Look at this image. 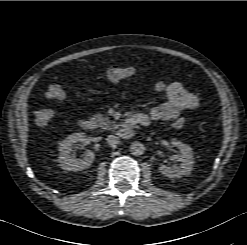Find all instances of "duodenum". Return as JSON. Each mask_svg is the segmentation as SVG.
<instances>
[{
  "instance_id": "410a0bca",
  "label": "duodenum",
  "mask_w": 247,
  "mask_h": 245,
  "mask_svg": "<svg viewBox=\"0 0 247 245\" xmlns=\"http://www.w3.org/2000/svg\"><path fill=\"white\" fill-rule=\"evenodd\" d=\"M141 120L142 118L136 116L135 114L130 115L129 117H127L123 125L118 130V135L121 138H129L133 135L136 125H143V126L149 125V124L148 125L144 124L146 120L143 119V122H140ZM79 126L83 130H90L93 127V123L89 118H81L79 121Z\"/></svg>"
}]
</instances>
